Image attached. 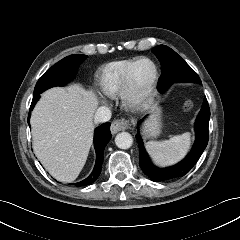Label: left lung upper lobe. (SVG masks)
Wrapping results in <instances>:
<instances>
[{"mask_svg":"<svg viewBox=\"0 0 240 240\" xmlns=\"http://www.w3.org/2000/svg\"><path fill=\"white\" fill-rule=\"evenodd\" d=\"M152 52L161 63L162 74L157 84L160 92H165L174 82H201L196 72L168 46L158 45Z\"/></svg>","mask_w":240,"mask_h":240,"instance_id":"obj_1","label":"left lung upper lobe"}]
</instances>
